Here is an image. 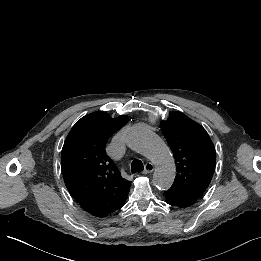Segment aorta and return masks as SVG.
Wrapping results in <instances>:
<instances>
[{"mask_svg":"<svg viewBox=\"0 0 261 261\" xmlns=\"http://www.w3.org/2000/svg\"><path fill=\"white\" fill-rule=\"evenodd\" d=\"M123 138L129 148L147 157L155 166L153 183L160 190L169 189L175 178L174 158L165 142L142 126L124 130Z\"/></svg>","mask_w":261,"mask_h":261,"instance_id":"762f6f07","label":"aorta"}]
</instances>
